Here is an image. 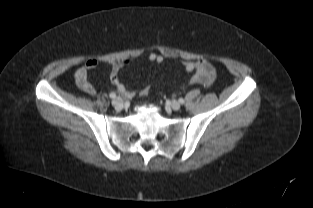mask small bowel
I'll return each mask as SVG.
<instances>
[{"mask_svg": "<svg viewBox=\"0 0 313 208\" xmlns=\"http://www.w3.org/2000/svg\"><path fill=\"white\" fill-rule=\"evenodd\" d=\"M148 59L152 62L162 63L164 57L157 53H150ZM127 60L119 59L111 64L110 71V81L115 86L116 90L126 98H132L135 95V92L128 90L124 84H122L119 72L127 63ZM184 68L187 72H192L193 75L190 79L191 83L194 84H208L214 78V68L213 66L205 59H199L196 61H185ZM98 66V60L95 58L88 59L83 66L78 68L74 74L75 84L84 93L88 95H94L96 93L95 87L89 80L88 73L91 70H94Z\"/></svg>", "mask_w": 313, "mask_h": 208, "instance_id": "c3829d8e", "label": "small bowel"}]
</instances>
